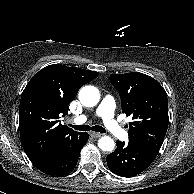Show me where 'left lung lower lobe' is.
I'll return each instance as SVG.
<instances>
[{"instance_id":"left-lung-lower-lobe-1","label":"left lung lower lobe","mask_w":194,"mask_h":194,"mask_svg":"<svg viewBox=\"0 0 194 194\" xmlns=\"http://www.w3.org/2000/svg\"><path fill=\"white\" fill-rule=\"evenodd\" d=\"M116 150L106 157L109 169L116 175L133 177L143 172L159 151L151 149L135 140L128 144L117 141Z\"/></svg>"}]
</instances>
